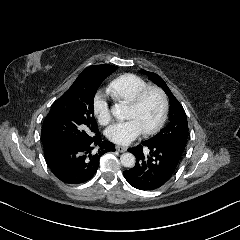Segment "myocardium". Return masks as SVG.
Listing matches in <instances>:
<instances>
[{"instance_id": "1", "label": "myocardium", "mask_w": 240, "mask_h": 240, "mask_svg": "<svg viewBox=\"0 0 240 240\" xmlns=\"http://www.w3.org/2000/svg\"><path fill=\"white\" fill-rule=\"evenodd\" d=\"M149 92H155L158 94L161 102V114L158 122L152 128L142 131L144 135H153L161 130V128L164 126L166 122L168 109H169L166 93L157 86H146L141 90H139L135 95V97L133 98V100L128 105H126L127 108H130V109L138 108L142 103L145 95Z\"/></svg>"}]
</instances>
